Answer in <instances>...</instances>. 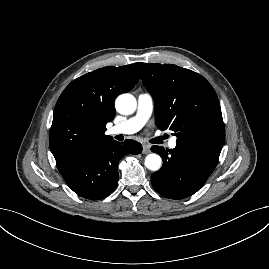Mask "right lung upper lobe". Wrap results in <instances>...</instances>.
Masks as SVG:
<instances>
[{
    "mask_svg": "<svg viewBox=\"0 0 269 269\" xmlns=\"http://www.w3.org/2000/svg\"><path fill=\"white\" fill-rule=\"evenodd\" d=\"M142 64L97 69L65 88L56 103L49 135L56 163L112 139L105 131L116 113L114 100L135 86Z\"/></svg>",
    "mask_w": 269,
    "mask_h": 269,
    "instance_id": "1",
    "label": "right lung upper lobe"
}]
</instances>
